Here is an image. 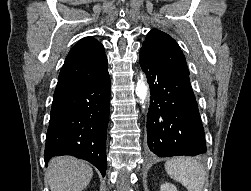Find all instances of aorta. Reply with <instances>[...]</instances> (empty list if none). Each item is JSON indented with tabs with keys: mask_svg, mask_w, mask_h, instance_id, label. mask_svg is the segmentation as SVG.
I'll return each instance as SVG.
<instances>
[{
	"mask_svg": "<svg viewBox=\"0 0 251 191\" xmlns=\"http://www.w3.org/2000/svg\"><path fill=\"white\" fill-rule=\"evenodd\" d=\"M136 94L137 97H139L140 99V103H145L149 94V88L147 84H145L142 74H141V80H138L137 82Z\"/></svg>",
	"mask_w": 251,
	"mask_h": 191,
	"instance_id": "762f6f07",
	"label": "aorta"
}]
</instances>
